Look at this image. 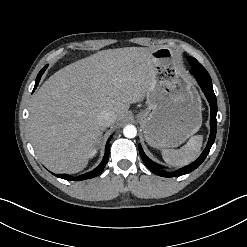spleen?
<instances>
[{
    "label": "spleen",
    "mask_w": 247,
    "mask_h": 247,
    "mask_svg": "<svg viewBox=\"0 0 247 247\" xmlns=\"http://www.w3.org/2000/svg\"><path fill=\"white\" fill-rule=\"evenodd\" d=\"M203 136H192L181 149H163L162 157L172 166H185L194 161L200 154Z\"/></svg>",
    "instance_id": "obj_1"
}]
</instances>
